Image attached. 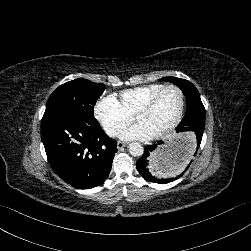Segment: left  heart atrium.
<instances>
[{"label":"left heart atrium","instance_id":"obj_1","mask_svg":"<svg viewBox=\"0 0 251 251\" xmlns=\"http://www.w3.org/2000/svg\"><path fill=\"white\" fill-rule=\"evenodd\" d=\"M157 135L147 121H138L120 131V137L126 140H151Z\"/></svg>","mask_w":251,"mask_h":251}]
</instances>
